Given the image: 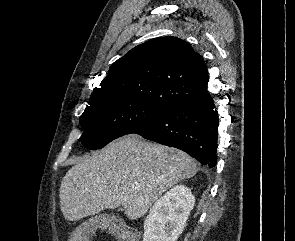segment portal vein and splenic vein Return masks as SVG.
I'll return each instance as SVG.
<instances>
[{"label": "portal vein and splenic vein", "instance_id": "1", "mask_svg": "<svg viewBox=\"0 0 295 241\" xmlns=\"http://www.w3.org/2000/svg\"><path fill=\"white\" fill-rule=\"evenodd\" d=\"M138 187H139V185H138L137 183H136V184H133V185L131 186V188L134 189V190H135V189H138Z\"/></svg>", "mask_w": 295, "mask_h": 241}]
</instances>
